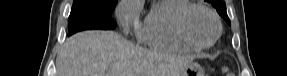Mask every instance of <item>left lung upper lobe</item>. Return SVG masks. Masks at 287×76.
<instances>
[{"mask_svg":"<svg viewBox=\"0 0 287 76\" xmlns=\"http://www.w3.org/2000/svg\"><path fill=\"white\" fill-rule=\"evenodd\" d=\"M206 2L212 3V5L217 9V12L227 21L230 25V20L226 13V5L225 2H221V0H205Z\"/></svg>","mask_w":287,"mask_h":76,"instance_id":"1","label":"left lung upper lobe"}]
</instances>
